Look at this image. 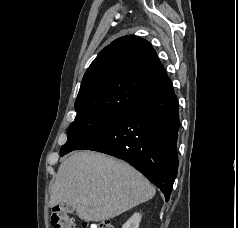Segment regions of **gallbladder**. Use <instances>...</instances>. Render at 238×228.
I'll use <instances>...</instances> for the list:
<instances>
[{"label":"gallbladder","mask_w":238,"mask_h":228,"mask_svg":"<svg viewBox=\"0 0 238 228\" xmlns=\"http://www.w3.org/2000/svg\"><path fill=\"white\" fill-rule=\"evenodd\" d=\"M66 210H67V212H69V213H73L74 208L71 207V206H68V207L66 208Z\"/></svg>","instance_id":"obj_1"}]
</instances>
